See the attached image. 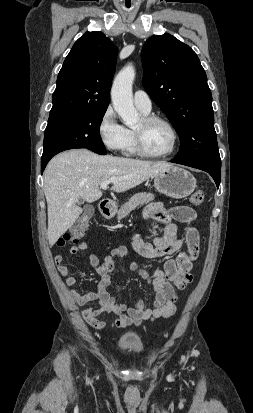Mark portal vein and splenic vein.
I'll list each match as a JSON object with an SVG mask.
<instances>
[{
    "label": "portal vein and splenic vein",
    "instance_id": "obj_1",
    "mask_svg": "<svg viewBox=\"0 0 253 413\" xmlns=\"http://www.w3.org/2000/svg\"><path fill=\"white\" fill-rule=\"evenodd\" d=\"M113 182H116V179H110V180H108V181L102 182V183L100 184V187H101V189L106 190L107 187H108V184H109V183H113Z\"/></svg>",
    "mask_w": 253,
    "mask_h": 413
}]
</instances>
